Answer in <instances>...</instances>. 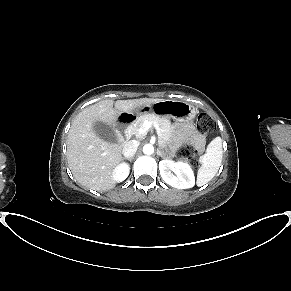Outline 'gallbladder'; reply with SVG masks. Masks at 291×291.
<instances>
[{
	"label": "gallbladder",
	"mask_w": 291,
	"mask_h": 291,
	"mask_svg": "<svg viewBox=\"0 0 291 291\" xmlns=\"http://www.w3.org/2000/svg\"><path fill=\"white\" fill-rule=\"evenodd\" d=\"M93 129L96 134L105 141L114 142L116 140V134L114 130L106 123L96 122L93 125Z\"/></svg>",
	"instance_id": "obj_1"
}]
</instances>
